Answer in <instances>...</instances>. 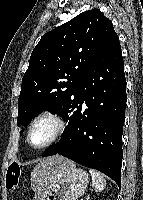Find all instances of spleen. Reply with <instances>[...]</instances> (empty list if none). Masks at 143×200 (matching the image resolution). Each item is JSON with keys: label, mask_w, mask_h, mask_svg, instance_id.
Returning <instances> with one entry per match:
<instances>
[{"label": "spleen", "mask_w": 143, "mask_h": 200, "mask_svg": "<svg viewBox=\"0 0 143 200\" xmlns=\"http://www.w3.org/2000/svg\"><path fill=\"white\" fill-rule=\"evenodd\" d=\"M89 172L92 177V186L95 189V191L96 192L102 191L106 187V180L104 176L100 172L94 169H90Z\"/></svg>", "instance_id": "spleen-1"}]
</instances>
